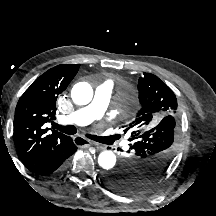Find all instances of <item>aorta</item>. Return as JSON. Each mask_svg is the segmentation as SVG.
Masks as SVG:
<instances>
[{
    "label": "aorta",
    "instance_id": "762f6f07",
    "mask_svg": "<svg viewBox=\"0 0 216 216\" xmlns=\"http://www.w3.org/2000/svg\"><path fill=\"white\" fill-rule=\"evenodd\" d=\"M71 97L77 105H87L93 98V89L89 83L80 82L74 85ZM98 164L105 170L112 169L116 164V156L112 151L105 150L98 156Z\"/></svg>",
    "mask_w": 216,
    "mask_h": 216
}]
</instances>
